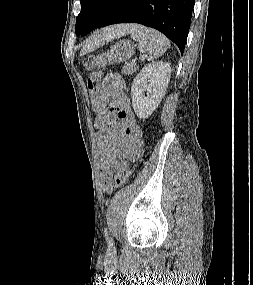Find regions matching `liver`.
<instances>
[{
  "mask_svg": "<svg viewBox=\"0 0 253 285\" xmlns=\"http://www.w3.org/2000/svg\"><path fill=\"white\" fill-rule=\"evenodd\" d=\"M135 27L136 25L133 24H121L105 28L104 30L100 31V33L93 35L91 39L86 42L81 50L80 55L91 52L109 41L130 33Z\"/></svg>",
  "mask_w": 253,
  "mask_h": 285,
  "instance_id": "6515ba94",
  "label": "liver"
}]
</instances>
